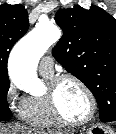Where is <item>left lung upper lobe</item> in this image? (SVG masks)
<instances>
[{"instance_id": "5c2ea615", "label": "left lung upper lobe", "mask_w": 116, "mask_h": 134, "mask_svg": "<svg viewBox=\"0 0 116 134\" xmlns=\"http://www.w3.org/2000/svg\"><path fill=\"white\" fill-rule=\"evenodd\" d=\"M55 59L93 93L102 122L116 121V20L98 6L59 9Z\"/></svg>"}]
</instances>
